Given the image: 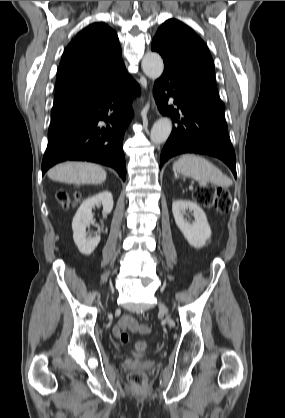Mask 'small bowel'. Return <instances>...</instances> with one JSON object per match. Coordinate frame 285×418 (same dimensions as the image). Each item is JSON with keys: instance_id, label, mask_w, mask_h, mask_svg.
<instances>
[{"instance_id": "obj_1", "label": "small bowel", "mask_w": 285, "mask_h": 418, "mask_svg": "<svg viewBox=\"0 0 285 418\" xmlns=\"http://www.w3.org/2000/svg\"><path fill=\"white\" fill-rule=\"evenodd\" d=\"M124 330L146 334L149 333L150 328L146 325L138 324L133 317L127 315L123 317L121 322L114 328V333L118 335L121 331Z\"/></svg>"}]
</instances>
